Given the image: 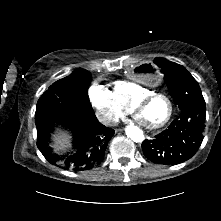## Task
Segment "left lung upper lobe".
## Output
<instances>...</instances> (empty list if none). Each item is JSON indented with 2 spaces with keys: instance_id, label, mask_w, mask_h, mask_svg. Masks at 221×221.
I'll use <instances>...</instances> for the list:
<instances>
[{
  "instance_id": "1",
  "label": "left lung upper lobe",
  "mask_w": 221,
  "mask_h": 221,
  "mask_svg": "<svg viewBox=\"0 0 221 221\" xmlns=\"http://www.w3.org/2000/svg\"><path fill=\"white\" fill-rule=\"evenodd\" d=\"M154 62L162 69L170 95L180 109L205 102L197 81L183 66L163 58Z\"/></svg>"
}]
</instances>
